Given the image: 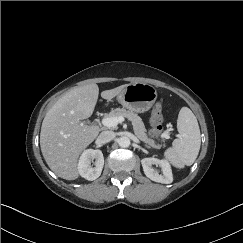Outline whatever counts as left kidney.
<instances>
[{
	"mask_svg": "<svg viewBox=\"0 0 243 243\" xmlns=\"http://www.w3.org/2000/svg\"><path fill=\"white\" fill-rule=\"evenodd\" d=\"M143 171L145 175L152 181L169 184L173 181L170 164L166 160H159L156 158H144L141 160ZM152 165L159 166L162 174L154 170Z\"/></svg>",
	"mask_w": 243,
	"mask_h": 243,
	"instance_id": "obj_1",
	"label": "left kidney"
}]
</instances>
